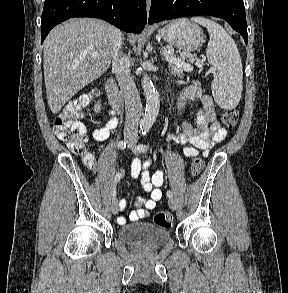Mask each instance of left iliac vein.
<instances>
[{"label":"left iliac vein","instance_id":"1","mask_svg":"<svg viewBox=\"0 0 288 293\" xmlns=\"http://www.w3.org/2000/svg\"><path fill=\"white\" fill-rule=\"evenodd\" d=\"M132 148H133V146H132ZM168 204L172 210H175L177 208V203L173 198H169Z\"/></svg>","mask_w":288,"mask_h":293}]
</instances>
